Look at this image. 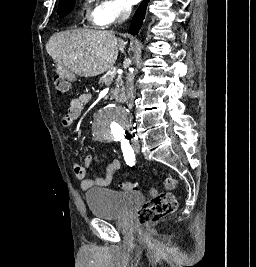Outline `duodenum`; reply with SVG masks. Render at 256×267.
<instances>
[{
    "label": "duodenum",
    "mask_w": 256,
    "mask_h": 267,
    "mask_svg": "<svg viewBox=\"0 0 256 267\" xmlns=\"http://www.w3.org/2000/svg\"><path fill=\"white\" fill-rule=\"evenodd\" d=\"M57 74L60 79H70V82H77V77L68 70V66H57ZM111 101H118V96H111Z\"/></svg>",
    "instance_id": "410a0bca"
}]
</instances>
